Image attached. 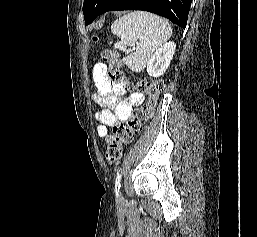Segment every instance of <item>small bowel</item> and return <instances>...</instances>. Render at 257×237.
I'll list each match as a JSON object with an SVG mask.
<instances>
[{
	"mask_svg": "<svg viewBox=\"0 0 257 237\" xmlns=\"http://www.w3.org/2000/svg\"><path fill=\"white\" fill-rule=\"evenodd\" d=\"M92 75L97 88V93L94 94L93 98L101 107V110L96 114V119L100 123L98 133L103 138L109 127L118 121H124L131 117L133 107L140 105L144 96L140 92H134L129 97L124 98V84H112L107 76V67L103 63L94 65Z\"/></svg>",
	"mask_w": 257,
	"mask_h": 237,
	"instance_id": "c3829d8e",
	"label": "small bowel"
}]
</instances>
